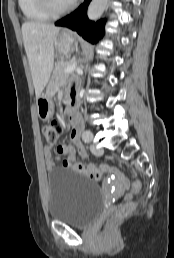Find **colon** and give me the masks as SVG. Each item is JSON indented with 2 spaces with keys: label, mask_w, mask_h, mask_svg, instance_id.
<instances>
[{
  "label": "colon",
  "mask_w": 174,
  "mask_h": 258,
  "mask_svg": "<svg viewBox=\"0 0 174 258\" xmlns=\"http://www.w3.org/2000/svg\"><path fill=\"white\" fill-rule=\"evenodd\" d=\"M63 133V124L58 120H51L45 122L42 126V134L46 140V143L50 146L57 144ZM141 189L140 180H135L130 188L128 198L136 194ZM134 204L130 201L124 203L114 214V216L108 221L107 227L111 228L113 224L120 218L126 216L132 211Z\"/></svg>",
  "instance_id": "1"
}]
</instances>
